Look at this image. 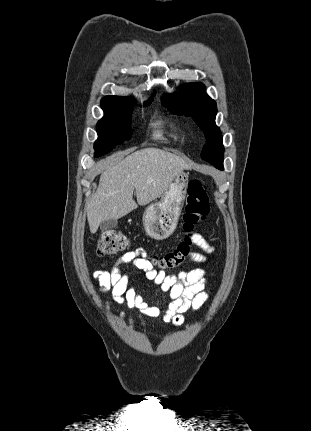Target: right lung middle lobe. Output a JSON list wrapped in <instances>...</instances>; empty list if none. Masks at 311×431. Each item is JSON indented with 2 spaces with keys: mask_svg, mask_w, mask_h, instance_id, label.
Masks as SVG:
<instances>
[{
  "mask_svg": "<svg viewBox=\"0 0 311 431\" xmlns=\"http://www.w3.org/2000/svg\"><path fill=\"white\" fill-rule=\"evenodd\" d=\"M152 98L143 105H150ZM134 106L132 99L103 98L101 107L105 115L97 123L98 140L94 144L95 157L108 153L113 147L129 140L132 135L131 113Z\"/></svg>",
  "mask_w": 311,
  "mask_h": 431,
  "instance_id": "dd1d6c3e",
  "label": "right lung middle lobe"
}]
</instances>
